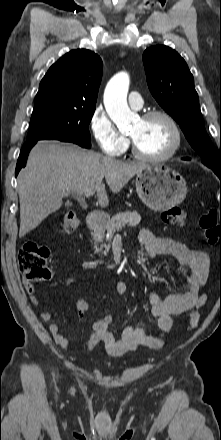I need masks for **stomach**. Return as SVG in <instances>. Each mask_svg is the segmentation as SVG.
<instances>
[{
  "label": "stomach",
  "instance_id": "1",
  "mask_svg": "<svg viewBox=\"0 0 221 440\" xmlns=\"http://www.w3.org/2000/svg\"><path fill=\"white\" fill-rule=\"evenodd\" d=\"M136 191L142 202L154 211H165L180 204L187 194V186L179 172L162 164L147 165L135 180Z\"/></svg>",
  "mask_w": 221,
  "mask_h": 440
}]
</instances>
